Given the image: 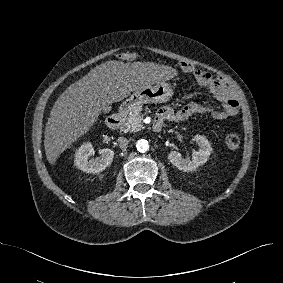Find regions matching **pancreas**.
Masks as SVG:
<instances>
[{
  "instance_id": "pancreas-1",
  "label": "pancreas",
  "mask_w": 283,
  "mask_h": 283,
  "mask_svg": "<svg viewBox=\"0 0 283 283\" xmlns=\"http://www.w3.org/2000/svg\"><path fill=\"white\" fill-rule=\"evenodd\" d=\"M142 106H137L134 108L129 116L126 118L121 131L127 132H137L142 128L141 121L143 120V115L141 114Z\"/></svg>"
}]
</instances>
